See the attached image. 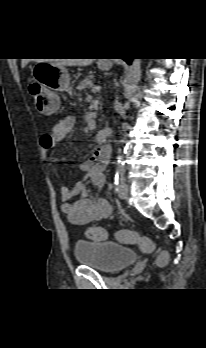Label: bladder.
<instances>
[{
    "label": "bladder",
    "instance_id": "1",
    "mask_svg": "<svg viewBox=\"0 0 206 348\" xmlns=\"http://www.w3.org/2000/svg\"><path fill=\"white\" fill-rule=\"evenodd\" d=\"M74 250L79 265L103 273H115L139 259L133 248L109 241H78Z\"/></svg>",
    "mask_w": 206,
    "mask_h": 348
}]
</instances>
